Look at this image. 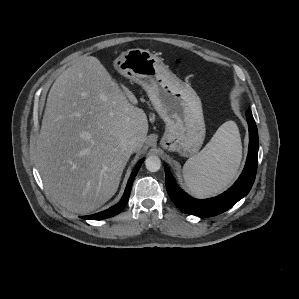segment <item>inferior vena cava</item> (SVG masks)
I'll list each match as a JSON object with an SVG mask.
<instances>
[{"label":"inferior vena cava","mask_w":299,"mask_h":299,"mask_svg":"<svg viewBox=\"0 0 299 299\" xmlns=\"http://www.w3.org/2000/svg\"><path fill=\"white\" fill-rule=\"evenodd\" d=\"M120 147L124 152L133 153L136 148V141L134 139L124 140L120 143Z\"/></svg>","instance_id":"inferior-vena-cava-1"}]
</instances>
